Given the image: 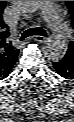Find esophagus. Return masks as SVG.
I'll return each mask as SVG.
<instances>
[{
  "instance_id": "1",
  "label": "esophagus",
  "mask_w": 74,
  "mask_h": 122,
  "mask_svg": "<svg viewBox=\"0 0 74 122\" xmlns=\"http://www.w3.org/2000/svg\"><path fill=\"white\" fill-rule=\"evenodd\" d=\"M34 40L37 42H45L47 40V37L36 35L34 36Z\"/></svg>"
}]
</instances>
